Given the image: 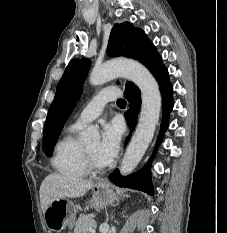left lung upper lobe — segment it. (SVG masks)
I'll return each instance as SVG.
<instances>
[{
    "label": "left lung upper lobe",
    "instance_id": "1",
    "mask_svg": "<svg viewBox=\"0 0 227 233\" xmlns=\"http://www.w3.org/2000/svg\"><path fill=\"white\" fill-rule=\"evenodd\" d=\"M107 54L111 57L137 59L154 77L165 67L161 56L144 31L135 28L129 22L114 25L109 37ZM89 67L90 61L86 58L71 60L57 85L44 128L43 150L48 157L52 156L59 133L81 94ZM133 88L136 86L132 82L126 83V91Z\"/></svg>",
    "mask_w": 227,
    "mask_h": 233
}]
</instances>
